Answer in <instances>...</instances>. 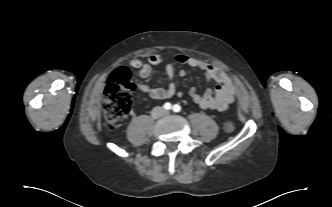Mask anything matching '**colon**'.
I'll return each mask as SVG.
<instances>
[{
	"label": "colon",
	"instance_id": "colon-1",
	"mask_svg": "<svg viewBox=\"0 0 332 207\" xmlns=\"http://www.w3.org/2000/svg\"><path fill=\"white\" fill-rule=\"evenodd\" d=\"M137 85L132 79L129 69L120 67L109 77L104 89V101L102 104L106 126L115 130L118 123L128 115L133 104V93ZM234 124L225 123L223 129L230 133L234 130Z\"/></svg>",
	"mask_w": 332,
	"mask_h": 207
}]
</instances>
